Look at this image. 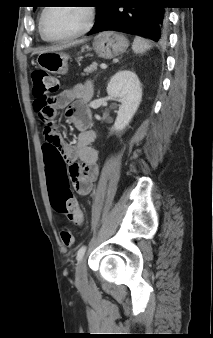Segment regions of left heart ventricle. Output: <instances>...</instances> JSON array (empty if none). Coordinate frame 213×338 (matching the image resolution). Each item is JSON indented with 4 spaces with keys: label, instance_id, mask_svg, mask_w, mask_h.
<instances>
[{
    "label": "left heart ventricle",
    "instance_id": "1",
    "mask_svg": "<svg viewBox=\"0 0 213 338\" xmlns=\"http://www.w3.org/2000/svg\"><path fill=\"white\" fill-rule=\"evenodd\" d=\"M87 14L82 7H54L46 15L44 34L59 38L80 30L86 23Z\"/></svg>",
    "mask_w": 213,
    "mask_h": 338
}]
</instances>
